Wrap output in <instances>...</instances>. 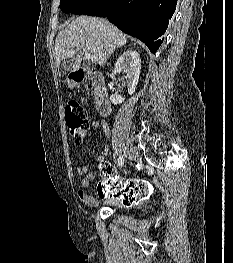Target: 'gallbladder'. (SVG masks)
I'll use <instances>...</instances> for the list:
<instances>
[{
    "instance_id": "bac80fb5",
    "label": "gallbladder",
    "mask_w": 233,
    "mask_h": 263,
    "mask_svg": "<svg viewBox=\"0 0 233 263\" xmlns=\"http://www.w3.org/2000/svg\"><path fill=\"white\" fill-rule=\"evenodd\" d=\"M71 67H72V63H68V62L62 61V63H61V68H62L64 71L71 70Z\"/></svg>"
}]
</instances>
